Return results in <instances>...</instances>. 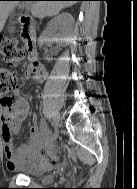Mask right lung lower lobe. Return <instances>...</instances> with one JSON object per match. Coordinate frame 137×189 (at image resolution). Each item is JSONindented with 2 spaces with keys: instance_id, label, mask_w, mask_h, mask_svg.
<instances>
[{
  "instance_id": "right-lung-lower-lobe-1",
  "label": "right lung lower lobe",
  "mask_w": 137,
  "mask_h": 189,
  "mask_svg": "<svg viewBox=\"0 0 137 189\" xmlns=\"http://www.w3.org/2000/svg\"><path fill=\"white\" fill-rule=\"evenodd\" d=\"M72 1H83V0H72Z\"/></svg>"
}]
</instances>
